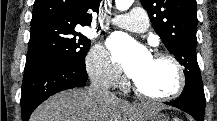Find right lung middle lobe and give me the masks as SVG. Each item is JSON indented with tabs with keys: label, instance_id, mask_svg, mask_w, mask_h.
Here are the masks:
<instances>
[{
	"label": "right lung middle lobe",
	"instance_id": "obj_1",
	"mask_svg": "<svg viewBox=\"0 0 217 121\" xmlns=\"http://www.w3.org/2000/svg\"><path fill=\"white\" fill-rule=\"evenodd\" d=\"M90 40L76 25L44 21L31 24L25 68L42 64H68L85 70Z\"/></svg>",
	"mask_w": 217,
	"mask_h": 121
}]
</instances>
